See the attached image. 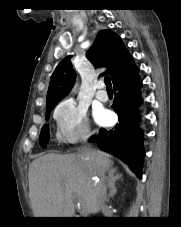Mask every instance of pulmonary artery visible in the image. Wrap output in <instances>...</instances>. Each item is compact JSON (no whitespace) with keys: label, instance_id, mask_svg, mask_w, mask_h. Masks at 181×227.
Instances as JSON below:
<instances>
[{"label":"pulmonary artery","instance_id":"1","mask_svg":"<svg viewBox=\"0 0 181 227\" xmlns=\"http://www.w3.org/2000/svg\"><path fill=\"white\" fill-rule=\"evenodd\" d=\"M97 91L95 93L96 98L101 101V102H106L108 100V94L107 92L103 89L104 88V82L99 81L97 84Z\"/></svg>","mask_w":181,"mask_h":227}]
</instances>
